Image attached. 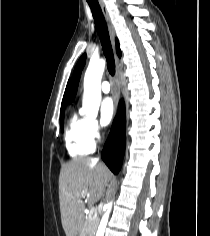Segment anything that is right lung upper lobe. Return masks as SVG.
<instances>
[{
	"label": "right lung upper lobe",
	"mask_w": 210,
	"mask_h": 236,
	"mask_svg": "<svg viewBox=\"0 0 210 236\" xmlns=\"http://www.w3.org/2000/svg\"><path fill=\"white\" fill-rule=\"evenodd\" d=\"M116 48H117L118 55L121 56V51H120V48H119L118 40H116ZM68 88H69V82L67 84L65 94H64V97H63V101H62V105H61V112H64V106H65V100H66V95H67V92H68Z\"/></svg>",
	"instance_id": "cb5924a9"
}]
</instances>
